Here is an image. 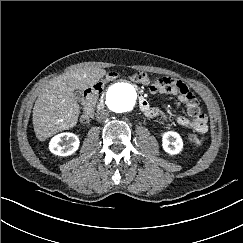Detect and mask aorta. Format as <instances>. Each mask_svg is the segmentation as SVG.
Wrapping results in <instances>:
<instances>
[{"label":"aorta","instance_id":"aorta-1","mask_svg":"<svg viewBox=\"0 0 243 243\" xmlns=\"http://www.w3.org/2000/svg\"><path fill=\"white\" fill-rule=\"evenodd\" d=\"M136 102V91L128 83L112 84L105 96V103L115 113H126L133 109Z\"/></svg>","mask_w":243,"mask_h":243}]
</instances>
